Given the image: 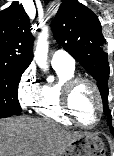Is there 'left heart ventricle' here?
<instances>
[{"mask_svg": "<svg viewBox=\"0 0 114 156\" xmlns=\"http://www.w3.org/2000/svg\"><path fill=\"white\" fill-rule=\"evenodd\" d=\"M72 107L85 125L94 122L97 115V100L93 89L88 84L79 85L72 96Z\"/></svg>", "mask_w": 114, "mask_h": 156, "instance_id": "b2bd125f", "label": "left heart ventricle"}]
</instances>
